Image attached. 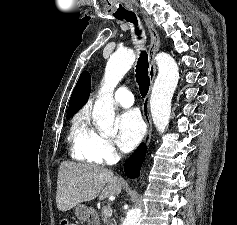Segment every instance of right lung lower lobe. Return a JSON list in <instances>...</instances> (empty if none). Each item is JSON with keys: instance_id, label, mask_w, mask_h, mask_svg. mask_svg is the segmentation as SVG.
Here are the masks:
<instances>
[{"instance_id": "right-lung-lower-lobe-1", "label": "right lung lower lobe", "mask_w": 237, "mask_h": 225, "mask_svg": "<svg viewBox=\"0 0 237 225\" xmlns=\"http://www.w3.org/2000/svg\"><path fill=\"white\" fill-rule=\"evenodd\" d=\"M145 153H146V145L142 143L125 162L124 171L129 178L139 177Z\"/></svg>"}]
</instances>
